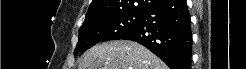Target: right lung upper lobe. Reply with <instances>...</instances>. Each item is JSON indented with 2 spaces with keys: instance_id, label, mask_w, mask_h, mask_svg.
Instances as JSON below:
<instances>
[{
  "instance_id": "obj_1",
  "label": "right lung upper lobe",
  "mask_w": 246,
  "mask_h": 69,
  "mask_svg": "<svg viewBox=\"0 0 246 69\" xmlns=\"http://www.w3.org/2000/svg\"><path fill=\"white\" fill-rule=\"evenodd\" d=\"M165 0H92L85 21L122 14H142Z\"/></svg>"
}]
</instances>
